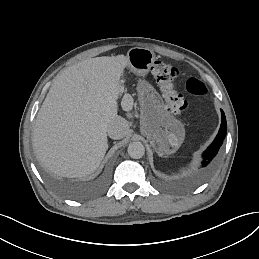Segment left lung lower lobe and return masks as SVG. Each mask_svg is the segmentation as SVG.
I'll return each instance as SVG.
<instances>
[{
  "instance_id": "left-lung-lower-lobe-1",
  "label": "left lung lower lobe",
  "mask_w": 259,
  "mask_h": 259,
  "mask_svg": "<svg viewBox=\"0 0 259 259\" xmlns=\"http://www.w3.org/2000/svg\"><path fill=\"white\" fill-rule=\"evenodd\" d=\"M221 126H220V130L218 132V135L216 136L215 140L212 142V144L203 152L202 154V160H201V164L200 167L204 168L209 166L215 159V156L217 155L223 140L226 136V132H227V123H226V117L225 114L223 112V110H221Z\"/></svg>"
}]
</instances>
